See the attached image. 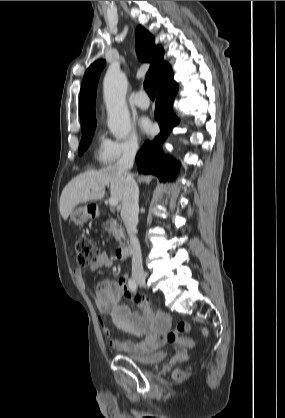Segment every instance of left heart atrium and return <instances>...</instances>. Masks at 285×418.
<instances>
[{
    "label": "left heart atrium",
    "mask_w": 285,
    "mask_h": 418,
    "mask_svg": "<svg viewBox=\"0 0 285 418\" xmlns=\"http://www.w3.org/2000/svg\"><path fill=\"white\" fill-rule=\"evenodd\" d=\"M140 127L146 133H149L152 130V124L148 118H142L140 120Z\"/></svg>",
    "instance_id": "39dd6f15"
}]
</instances>
